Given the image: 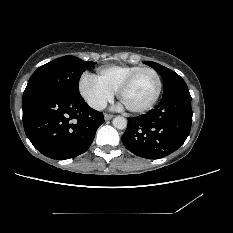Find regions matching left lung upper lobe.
Returning a JSON list of instances; mask_svg holds the SVG:
<instances>
[{"instance_id": "1", "label": "left lung upper lobe", "mask_w": 233, "mask_h": 233, "mask_svg": "<svg viewBox=\"0 0 233 233\" xmlns=\"http://www.w3.org/2000/svg\"><path fill=\"white\" fill-rule=\"evenodd\" d=\"M144 64L152 67L162 77L164 82V92L162 98L183 88H187L185 81L172 70L152 61H145Z\"/></svg>"}]
</instances>
